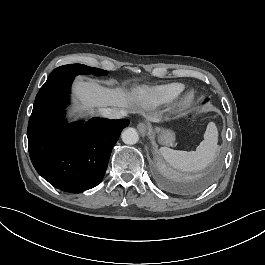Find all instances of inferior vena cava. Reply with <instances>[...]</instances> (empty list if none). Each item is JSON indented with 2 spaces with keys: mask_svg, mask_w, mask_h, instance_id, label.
Here are the masks:
<instances>
[{
  "mask_svg": "<svg viewBox=\"0 0 265 265\" xmlns=\"http://www.w3.org/2000/svg\"><path fill=\"white\" fill-rule=\"evenodd\" d=\"M101 114L111 119H121L126 117L127 111L119 110L116 108H105L102 110Z\"/></svg>",
  "mask_w": 265,
  "mask_h": 265,
  "instance_id": "obj_1",
  "label": "inferior vena cava"
}]
</instances>
